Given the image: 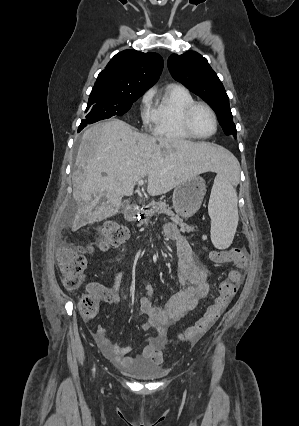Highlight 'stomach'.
<instances>
[{"label": "stomach", "instance_id": "1", "mask_svg": "<svg viewBox=\"0 0 299 426\" xmlns=\"http://www.w3.org/2000/svg\"><path fill=\"white\" fill-rule=\"evenodd\" d=\"M206 193L205 181L200 177L181 182L173 192L172 203L176 213L183 218H190L200 208Z\"/></svg>", "mask_w": 299, "mask_h": 426}]
</instances>
